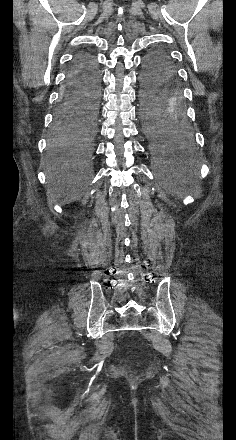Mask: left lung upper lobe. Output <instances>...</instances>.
<instances>
[{
	"label": "left lung upper lobe",
	"mask_w": 236,
	"mask_h": 440,
	"mask_svg": "<svg viewBox=\"0 0 236 440\" xmlns=\"http://www.w3.org/2000/svg\"><path fill=\"white\" fill-rule=\"evenodd\" d=\"M163 53H165L163 50H155L152 53H150L144 63L150 64L152 62H154L160 55H162Z\"/></svg>",
	"instance_id": "1"
}]
</instances>
